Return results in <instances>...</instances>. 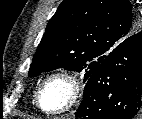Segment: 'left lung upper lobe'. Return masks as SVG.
<instances>
[{
  "instance_id": "obj_1",
  "label": "left lung upper lobe",
  "mask_w": 142,
  "mask_h": 119,
  "mask_svg": "<svg viewBox=\"0 0 142 119\" xmlns=\"http://www.w3.org/2000/svg\"><path fill=\"white\" fill-rule=\"evenodd\" d=\"M138 30L129 0H64L47 25L29 77L64 68L84 72L87 82L105 57Z\"/></svg>"
}]
</instances>
